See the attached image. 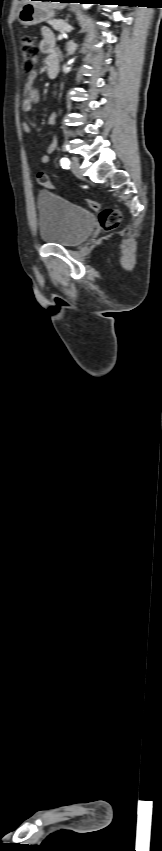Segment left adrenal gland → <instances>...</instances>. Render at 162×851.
Here are the masks:
<instances>
[{
  "mask_svg": "<svg viewBox=\"0 0 162 851\" xmlns=\"http://www.w3.org/2000/svg\"><path fill=\"white\" fill-rule=\"evenodd\" d=\"M77 47H78V45L76 43H74L73 40L69 41L66 45V50L68 52V55H73L75 53Z\"/></svg>",
  "mask_w": 162,
  "mask_h": 851,
  "instance_id": "1",
  "label": "left adrenal gland"
}]
</instances>
